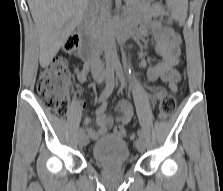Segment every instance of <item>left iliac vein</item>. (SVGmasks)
<instances>
[{"label": "left iliac vein", "mask_w": 223, "mask_h": 191, "mask_svg": "<svg viewBox=\"0 0 223 191\" xmlns=\"http://www.w3.org/2000/svg\"><path fill=\"white\" fill-rule=\"evenodd\" d=\"M135 147H136V149H137L139 152H143L144 149H145V142H144V139L139 137V138L135 141Z\"/></svg>", "instance_id": "left-iliac-vein-1"}]
</instances>
